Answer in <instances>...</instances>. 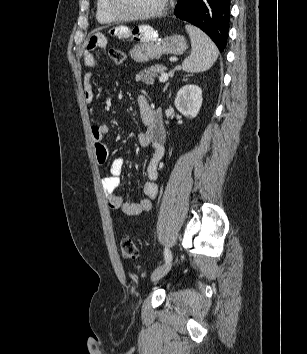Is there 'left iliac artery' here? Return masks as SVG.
Listing matches in <instances>:
<instances>
[{
	"label": "left iliac artery",
	"mask_w": 307,
	"mask_h": 354,
	"mask_svg": "<svg viewBox=\"0 0 307 354\" xmlns=\"http://www.w3.org/2000/svg\"><path fill=\"white\" fill-rule=\"evenodd\" d=\"M171 251L168 248L164 249V258H165V262L168 263L171 260Z\"/></svg>",
	"instance_id": "1"
}]
</instances>
